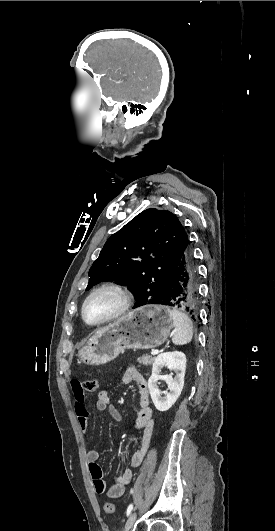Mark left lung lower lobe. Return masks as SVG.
Returning a JSON list of instances; mask_svg holds the SVG:
<instances>
[{"mask_svg":"<svg viewBox=\"0 0 275 531\" xmlns=\"http://www.w3.org/2000/svg\"><path fill=\"white\" fill-rule=\"evenodd\" d=\"M188 312L195 317L198 304V273L192 248L188 245L182 254L178 267L163 300L158 303Z\"/></svg>","mask_w":275,"mask_h":531,"instance_id":"obj_1","label":"left lung lower lobe"}]
</instances>
